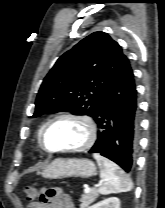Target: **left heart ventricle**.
Listing matches in <instances>:
<instances>
[{
	"label": "left heart ventricle",
	"instance_id": "left-heart-ventricle-1",
	"mask_svg": "<svg viewBox=\"0 0 165 208\" xmlns=\"http://www.w3.org/2000/svg\"><path fill=\"white\" fill-rule=\"evenodd\" d=\"M86 139L87 130L81 122L72 119H62L49 128L45 142L51 149H62L79 146Z\"/></svg>",
	"mask_w": 165,
	"mask_h": 208
}]
</instances>
